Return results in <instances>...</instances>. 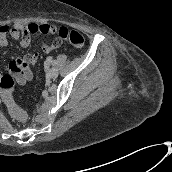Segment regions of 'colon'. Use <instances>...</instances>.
Segmentation results:
<instances>
[{
	"label": "colon",
	"instance_id": "5ec220e1",
	"mask_svg": "<svg viewBox=\"0 0 172 172\" xmlns=\"http://www.w3.org/2000/svg\"><path fill=\"white\" fill-rule=\"evenodd\" d=\"M37 31L48 32L50 28L47 26H38L36 24H30L25 26L22 29V37L23 41H26L28 38L31 37L32 34L36 33ZM57 33V35L69 42L71 45L75 47H82L84 45V37L78 31L68 29L67 27H60L58 29L53 30V33ZM17 70L11 69V73L0 77V97L8 111L12 117L17 120H24L26 118L25 111L15 102L13 98V90L15 86V74Z\"/></svg>",
	"mask_w": 172,
	"mask_h": 172
}]
</instances>
